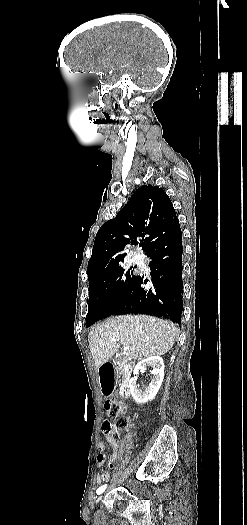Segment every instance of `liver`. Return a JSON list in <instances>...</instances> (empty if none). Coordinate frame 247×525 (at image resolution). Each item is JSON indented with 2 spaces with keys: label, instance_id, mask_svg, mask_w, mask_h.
<instances>
[{
  "label": "liver",
  "instance_id": "1",
  "mask_svg": "<svg viewBox=\"0 0 247 525\" xmlns=\"http://www.w3.org/2000/svg\"><path fill=\"white\" fill-rule=\"evenodd\" d=\"M180 329L172 321L149 315H120L91 329L88 337L96 369L110 361L122 347L125 359L144 361L153 355H165L174 345Z\"/></svg>",
  "mask_w": 247,
  "mask_h": 525
}]
</instances>
